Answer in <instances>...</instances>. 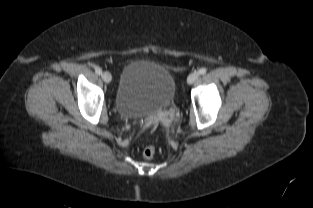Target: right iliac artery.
Returning a JSON list of instances; mask_svg holds the SVG:
<instances>
[{"label":"right iliac artery","mask_w":313,"mask_h":208,"mask_svg":"<svg viewBox=\"0 0 313 208\" xmlns=\"http://www.w3.org/2000/svg\"><path fill=\"white\" fill-rule=\"evenodd\" d=\"M95 72H96V74L100 75V74H102V69L97 66V67H95Z\"/></svg>","instance_id":"right-iliac-artery-1"}]
</instances>
